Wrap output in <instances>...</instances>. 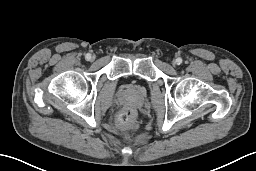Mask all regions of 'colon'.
<instances>
[{"mask_svg":"<svg viewBox=\"0 0 256 171\" xmlns=\"http://www.w3.org/2000/svg\"><path fill=\"white\" fill-rule=\"evenodd\" d=\"M116 123L122 128H130L137 125L135 111L130 108H124L116 115Z\"/></svg>","mask_w":256,"mask_h":171,"instance_id":"obj_1","label":"colon"}]
</instances>
